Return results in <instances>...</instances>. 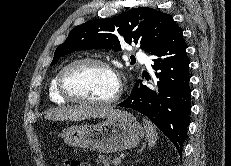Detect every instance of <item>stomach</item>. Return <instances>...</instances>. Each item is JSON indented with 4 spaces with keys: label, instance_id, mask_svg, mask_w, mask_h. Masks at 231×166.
<instances>
[{
    "label": "stomach",
    "instance_id": "stomach-1",
    "mask_svg": "<svg viewBox=\"0 0 231 166\" xmlns=\"http://www.w3.org/2000/svg\"><path fill=\"white\" fill-rule=\"evenodd\" d=\"M61 137L71 146L100 153H114L136 147L144 137L143 127L129 113L95 125H73Z\"/></svg>",
    "mask_w": 231,
    "mask_h": 166
}]
</instances>
